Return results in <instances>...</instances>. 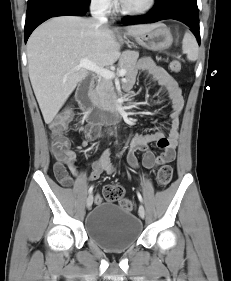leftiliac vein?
Listing matches in <instances>:
<instances>
[{"instance_id": "obj_1", "label": "left iliac vein", "mask_w": 231, "mask_h": 281, "mask_svg": "<svg viewBox=\"0 0 231 281\" xmlns=\"http://www.w3.org/2000/svg\"><path fill=\"white\" fill-rule=\"evenodd\" d=\"M138 213H139V216H140L141 218H144V217H145V210H144V207H143L142 205L139 206Z\"/></svg>"}]
</instances>
